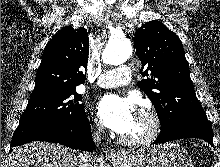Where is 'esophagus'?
Returning a JSON list of instances; mask_svg holds the SVG:
<instances>
[{"mask_svg": "<svg viewBox=\"0 0 220 167\" xmlns=\"http://www.w3.org/2000/svg\"><path fill=\"white\" fill-rule=\"evenodd\" d=\"M105 155L107 159L112 161L119 160L121 158L120 154L111 148L106 150Z\"/></svg>", "mask_w": 220, "mask_h": 167, "instance_id": "obj_1", "label": "esophagus"}]
</instances>
